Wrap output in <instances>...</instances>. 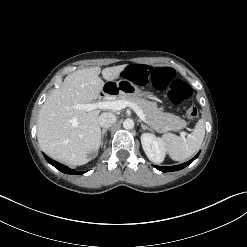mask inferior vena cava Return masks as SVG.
<instances>
[{
  "mask_svg": "<svg viewBox=\"0 0 247 247\" xmlns=\"http://www.w3.org/2000/svg\"><path fill=\"white\" fill-rule=\"evenodd\" d=\"M98 120L101 127L108 128L116 122L117 118L111 112H104L99 116Z\"/></svg>",
  "mask_w": 247,
  "mask_h": 247,
  "instance_id": "inferior-vena-cava-1",
  "label": "inferior vena cava"
}]
</instances>
